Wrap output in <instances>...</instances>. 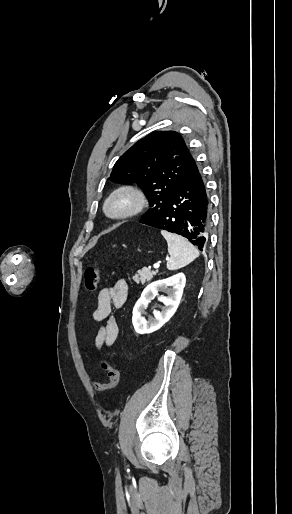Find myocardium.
Listing matches in <instances>:
<instances>
[{
    "instance_id": "f54148a6",
    "label": "myocardium",
    "mask_w": 292,
    "mask_h": 514,
    "mask_svg": "<svg viewBox=\"0 0 292 514\" xmlns=\"http://www.w3.org/2000/svg\"><path fill=\"white\" fill-rule=\"evenodd\" d=\"M145 204V197L140 190L132 186H120L113 190L103 203V213L110 219H124L140 212Z\"/></svg>"
}]
</instances>
